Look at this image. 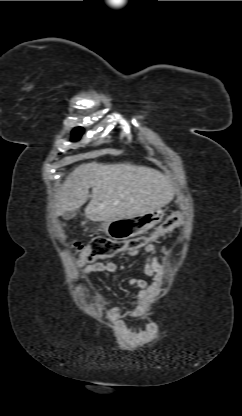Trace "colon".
<instances>
[{"mask_svg": "<svg viewBox=\"0 0 242 416\" xmlns=\"http://www.w3.org/2000/svg\"><path fill=\"white\" fill-rule=\"evenodd\" d=\"M180 214L168 216L151 234L136 236L126 240H113L108 237H95L88 244H84L77 239L70 241V248L77 254L82 263H94L101 260L110 259L117 254L126 253L145 247L174 230L182 224Z\"/></svg>", "mask_w": 242, "mask_h": 416, "instance_id": "1", "label": "colon"}]
</instances>
